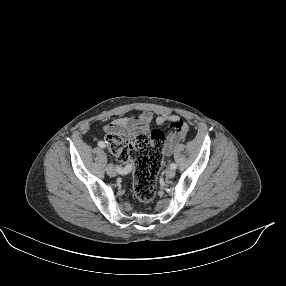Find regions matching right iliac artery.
I'll return each mask as SVG.
<instances>
[{
	"mask_svg": "<svg viewBox=\"0 0 286 286\" xmlns=\"http://www.w3.org/2000/svg\"><path fill=\"white\" fill-rule=\"evenodd\" d=\"M98 146L101 147V148H105L106 145H105V143L103 141H99L98 142ZM125 170H126L125 168H118L119 172H124Z\"/></svg>",
	"mask_w": 286,
	"mask_h": 286,
	"instance_id": "1",
	"label": "right iliac artery"
}]
</instances>
